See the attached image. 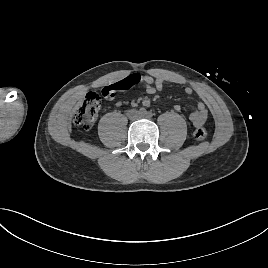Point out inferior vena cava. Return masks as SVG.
<instances>
[{
	"instance_id": "1",
	"label": "inferior vena cava",
	"mask_w": 268,
	"mask_h": 268,
	"mask_svg": "<svg viewBox=\"0 0 268 268\" xmlns=\"http://www.w3.org/2000/svg\"><path fill=\"white\" fill-rule=\"evenodd\" d=\"M131 118H132V119H136L137 117H136V116H132Z\"/></svg>"
}]
</instances>
